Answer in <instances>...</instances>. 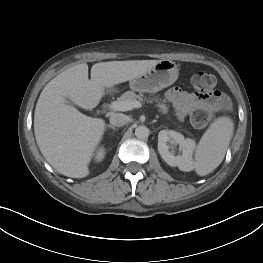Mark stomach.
Wrapping results in <instances>:
<instances>
[{"mask_svg":"<svg viewBox=\"0 0 263 263\" xmlns=\"http://www.w3.org/2000/svg\"><path fill=\"white\" fill-rule=\"evenodd\" d=\"M178 68L171 60H160L151 69L130 80L129 86L136 92L155 93L172 85L178 78Z\"/></svg>","mask_w":263,"mask_h":263,"instance_id":"0dacf381","label":"stomach"}]
</instances>
